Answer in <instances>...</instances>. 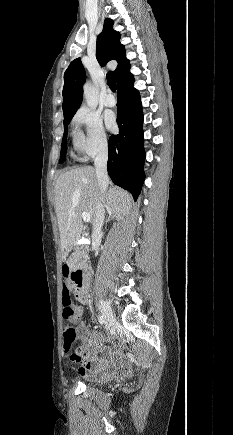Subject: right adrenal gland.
I'll list each match as a JSON object with an SVG mask.
<instances>
[{"label":"right adrenal gland","instance_id":"2a0ac1e0","mask_svg":"<svg viewBox=\"0 0 233 435\" xmlns=\"http://www.w3.org/2000/svg\"><path fill=\"white\" fill-rule=\"evenodd\" d=\"M111 218H114L113 216L109 215V217L106 220V223L109 222L111 220Z\"/></svg>","mask_w":233,"mask_h":435}]
</instances>
